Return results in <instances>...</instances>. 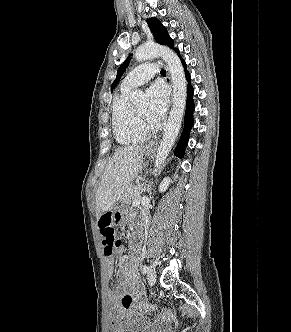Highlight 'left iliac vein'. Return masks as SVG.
<instances>
[{
	"mask_svg": "<svg viewBox=\"0 0 291 332\" xmlns=\"http://www.w3.org/2000/svg\"><path fill=\"white\" fill-rule=\"evenodd\" d=\"M147 280L150 285H153L156 282V272L153 266H149Z\"/></svg>",
	"mask_w": 291,
	"mask_h": 332,
	"instance_id": "1",
	"label": "left iliac vein"
}]
</instances>
